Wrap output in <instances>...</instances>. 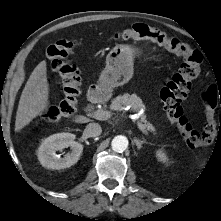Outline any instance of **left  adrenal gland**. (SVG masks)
Returning <instances> with one entry per match:
<instances>
[{
  "label": "left adrenal gland",
  "mask_w": 221,
  "mask_h": 221,
  "mask_svg": "<svg viewBox=\"0 0 221 221\" xmlns=\"http://www.w3.org/2000/svg\"><path fill=\"white\" fill-rule=\"evenodd\" d=\"M134 142L136 143V146H137L138 150H140L142 148V145L144 143H147L145 140H139L137 138H134Z\"/></svg>",
  "instance_id": "obj_1"
}]
</instances>
